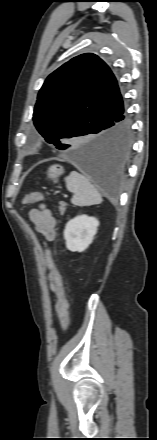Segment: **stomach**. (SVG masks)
Instances as JSON below:
<instances>
[{"label": "stomach", "instance_id": "stomach-1", "mask_svg": "<svg viewBox=\"0 0 157 440\" xmlns=\"http://www.w3.org/2000/svg\"><path fill=\"white\" fill-rule=\"evenodd\" d=\"M64 173V169L60 165H51L47 171V176L49 179L56 182L58 178Z\"/></svg>", "mask_w": 157, "mask_h": 440}]
</instances>
